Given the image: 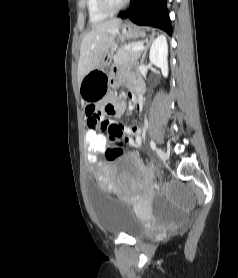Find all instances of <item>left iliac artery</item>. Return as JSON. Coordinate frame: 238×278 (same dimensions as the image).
Instances as JSON below:
<instances>
[{
    "label": "left iliac artery",
    "instance_id": "44dca946",
    "mask_svg": "<svg viewBox=\"0 0 238 278\" xmlns=\"http://www.w3.org/2000/svg\"><path fill=\"white\" fill-rule=\"evenodd\" d=\"M150 145H151V148H152L153 150H155L156 144H155V142H154L153 140L150 141Z\"/></svg>",
    "mask_w": 238,
    "mask_h": 278
}]
</instances>
